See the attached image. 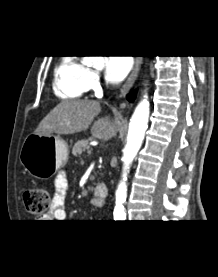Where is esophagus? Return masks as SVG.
<instances>
[{
	"label": "esophagus",
	"mask_w": 218,
	"mask_h": 277,
	"mask_svg": "<svg viewBox=\"0 0 218 277\" xmlns=\"http://www.w3.org/2000/svg\"><path fill=\"white\" fill-rule=\"evenodd\" d=\"M141 63H142V58L136 57L134 67H133L127 81L125 82V84L122 86V88L120 90V94H119L120 98H124L126 96V94L129 92V90L131 89V87L133 86V84L139 74V71L141 68Z\"/></svg>",
	"instance_id": "obj_1"
}]
</instances>
